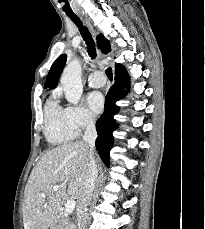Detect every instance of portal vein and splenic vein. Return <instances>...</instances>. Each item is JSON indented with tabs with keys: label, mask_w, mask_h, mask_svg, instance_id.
Instances as JSON below:
<instances>
[{
	"label": "portal vein and splenic vein",
	"mask_w": 205,
	"mask_h": 229,
	"mask_svg": "<svg viewBox=\"0 0 205 229\" xmlns=\"http://www.w3.org/2000/svg\"><path fill=\"white\" fill-rule=\"evenodd\" d=\"M60 188H61L60 185H54L52 187V192H56ZM75 205H76L75 200L73 199L67 200V202L65 203V212H64L65 217H67L70 213H72V211L75 209Z\"/></svg>",
	"instance_id": "obj_1"
}]
</instances>
